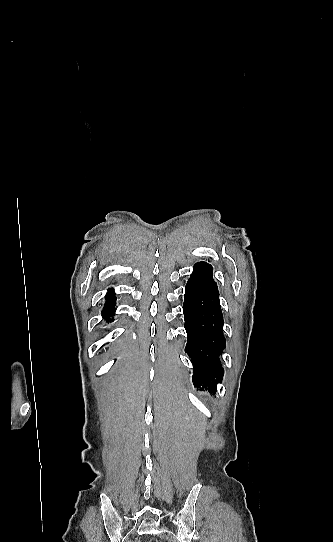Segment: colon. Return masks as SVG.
I'll use <instances>...</instances> for the list:
<instances>
[{"label": "colon", "mask_w": 333, "mask_h": 542, "mask_svg": "<svg viewBox=\"0 0 333 542\" xmlns=\"http://www.w3.org/2000/svg\"><path fill=\"white\" fill-rule=\"evenodd\" d=\"M143 542H162L161 536H144Z\"/></svg>", "instance_id": "1"}]
</instances>
